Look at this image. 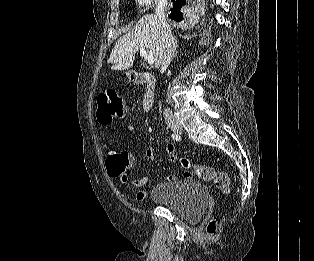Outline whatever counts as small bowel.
Segmentation results:
<instances>
[{
  "instance_id": "small-bowel-1",
  "label": "small bowel",
  "mask_w": 314,
  "mask_h": 261,
  "mask_svg": "<svg viewBox=\"0 0 314 261\" xmlns=\"http://www.w3.org/2000/svg\"><path fill=\"white\" fill-rule=\"evenodd\" d=\"M165 151H166V154L168 155L169 161L173 162L176 160V155L174 152V146L172 144L166 145ZM145 155L152 162H154L156 159L154 148L152 146H148L146 148ZM128 157H129L130 167H134L135 166L134 156L132 154H128ZM168 179H174V177L169 176ZM149 180H150L149 176L136 178V179L132 180L131 185H132V187L139 189V188L144 187L149 182ZM146 197H147V192L145 190L137 191V193H136L137 200H144Z\"/></svg>"
}]
</instances>
